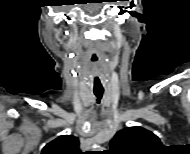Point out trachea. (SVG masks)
<instances>
[{"label":"trachea","instance_id":"obj_1","mask_svg":"<svg viewBox=\"0 0 190 154\" xmlns=\"http://www.w3.org/2000/svg\"><path fill=\"white\" fill-rule=\"evenodd\" d=\"M94 94L97 97V101L98 103L100 102L102 96H103V91H98V90H94Z\"/></svg>","mask_w":190,"mask_h":154}]
</instances>
